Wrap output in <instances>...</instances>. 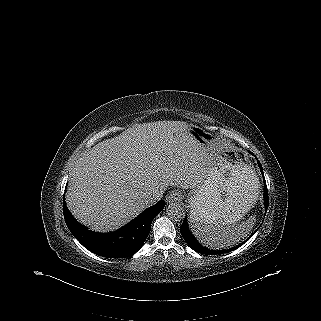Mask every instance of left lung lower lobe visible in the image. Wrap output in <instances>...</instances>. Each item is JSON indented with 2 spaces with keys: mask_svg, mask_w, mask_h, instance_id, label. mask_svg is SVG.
I'll return each instance as SVG.
<instances>
[{
  "mask_svg": "<svg viewBox=\"0 0 321 321\" xmlns=\"http://www.w3.org/2000/svg\"><path fill=\"white\" fill-rule=\"evenodd\" d=\"M258 165H259V167L261 169V172H262V175H263L262 166H261L259 161H258ZM264 181H265V179H264ZM268 202H269L268 201V190H267V186H266V182H265V184H264V204H265V209H267V207H268ZM180 233L183 236V238L185 239V241L187 242V244L190 246L191 249H193L194 251H196L198 253L206 254V255H217V254L228 253L230 251H233V250L239 248L242 244H244V242H243V243L237 245L236 247H232V248H229L227 250H210L208 248H205L191 234L186 218L184 219V221L182 223V226L180 228Z\"/></svg>",
  "mask_w": 321,
  "mask_h": 321,
  "instance_id": "obj_1",
  "label": "left lung lower lobe"
}]
</instances>
